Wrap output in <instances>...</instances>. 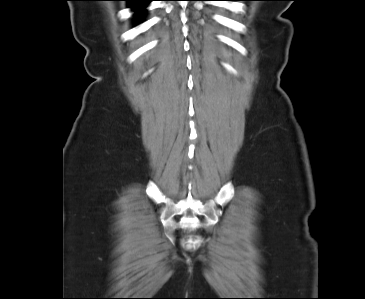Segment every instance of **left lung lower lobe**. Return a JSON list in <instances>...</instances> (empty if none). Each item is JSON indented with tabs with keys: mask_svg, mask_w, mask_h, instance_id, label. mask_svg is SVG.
Returning a JSON list of instances; mask_svg holds the SVG:
<instances>
[{
	"mask_svg": "<svg viewBox=\"0 0 365 299\" xmlns=\"http://www.w3.org/2000/svg\"><path fill=\"white\" fill-rule=\"evenodd\" d=\"M227 1H239V0H227Z\"/></svg>",
	"mask_w": 365,
	"mask_h": 299,
	"instance_id": "0a47b994",
	"label": "left lung lower lobe"
}]
</instances>
